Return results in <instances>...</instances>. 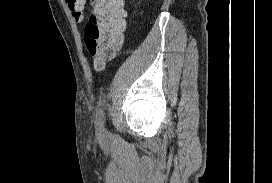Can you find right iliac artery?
Returning a JSON list of instances; mask_svg holds the SVG:
<instances>
[{"label": "right iliac artery", "mask_w": 272, "mask_h": 183, "mask_svg": "<svg viewBox=\"0 0 272 183\" xmlns=\"http://www.w3.org/2000/svg\"><path fill=\"white\" fill-rule=\"evenodd\" d=\"M95 124L99 133L104 131V113L102 109L97 112Z\"/></svg>", "instance_id": "82829eb1"}]
</instances>
